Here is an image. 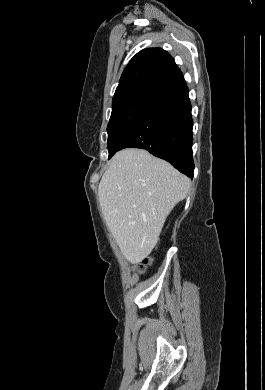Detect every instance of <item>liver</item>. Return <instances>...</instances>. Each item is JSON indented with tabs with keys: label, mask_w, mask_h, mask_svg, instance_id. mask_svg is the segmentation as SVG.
<instances>
[{
	"label": "liver",
	"mask_w": 265,
	"mask_h": 390,
	"mask_svg": "<svg viewBox=\"0 0 265 390\" xmlns=\"http://www.w3.org/2000/svg\"><path fill=\"white\" fill-rule=\"evenodd\" d=\"M190 189V179L146 150L112 158L98 187L107 227L122 255L140 263L156 246L167 216Z\"/></svg>",
	"instance_id": "1"
}]
</instances>
